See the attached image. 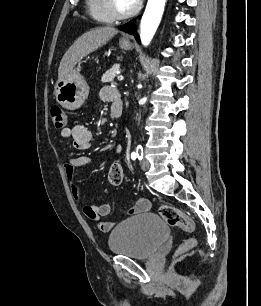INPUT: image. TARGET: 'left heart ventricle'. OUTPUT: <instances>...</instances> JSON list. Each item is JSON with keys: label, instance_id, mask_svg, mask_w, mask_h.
I'll use <instances>...</instances> for the list:
<instances>
[{"label": "left heart ventricle", "instance_id": "1", "mask_svg": "<svg viewBox=\"0 0 261 306\" xmlns=\"http://www.w3.org/2000/svg\"><path fill=\"white\" fill-rule=\"evenodd\" d=\"M115 5L119 11L126 12L132 9L135 4L136 0H114Z\"/></svg>", "mask_w": 261, "mask_h": 306}]
</instances>
